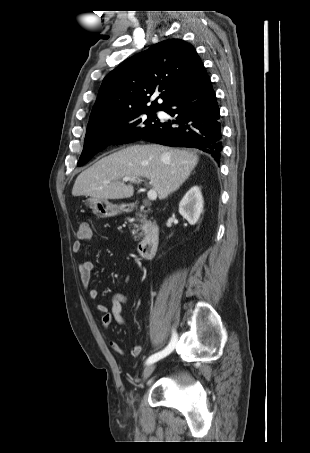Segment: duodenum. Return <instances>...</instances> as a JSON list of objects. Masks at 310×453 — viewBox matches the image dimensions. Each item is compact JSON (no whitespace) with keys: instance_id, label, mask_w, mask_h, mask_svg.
Masks as SVG:
<instances>
[{"instance_id":"410a0bca","label":"duodenum","mask_w":310,"mask_h":453,"mask_svg":"<svg viewBox=\"0 0 310 453\" xmlns=\"http://www.w3.org/2000/svg\"><path fill=\"white\" fill-rule=\"evenodd\" d=\"M138 211L142 215H145L149 212L150 208L147 204L141 205L139 208H128L126 209L127 213H132L134 211ZM160 239V230L156 223H150L147 226L146 232L144 234L143 239L138 244V253L143 259H150L152 258L158 247Z\"/></svg>"}]
</instances>
